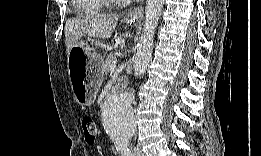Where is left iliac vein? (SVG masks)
<instances>
[{
	"instance_id": "1",
	"label": "left iliac vein",
	"mask_w": 261,
	"mask_h": 156,
	"mask_svg": "<svg viewBox=\"0 0 261 156\" xmlns=\"http://www.w3.org/2000/svg\"><path fill=\"white\" fill-rule=\"evenodd\" d=\"M134 155L136 156H144L143 151L140 149L139 146H135L133 149Z\"/></svg>"
}]
</instances>
